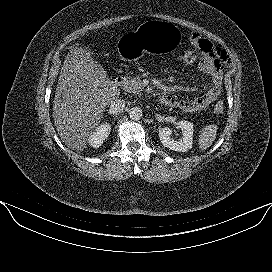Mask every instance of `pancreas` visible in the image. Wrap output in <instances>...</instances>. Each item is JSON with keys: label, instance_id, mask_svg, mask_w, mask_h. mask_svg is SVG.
I'll use <instances>...</instances> for the list:
<instances>
[{"label": "pancreas", "instance_id": "1", "mask_svg": "<svg viewBox=\"0 0 272 272\" xmlns=\"http://www.w3.org/2000/svg\"><path fill=\"white\" fill-rule=\"evenodd\" d=\"M125 91L133 94H139L144 87L141 83L140 77L127 78L124 82Z\"/></svg>", "mask_w": 272, "mask_h": 272}]
</instances>
